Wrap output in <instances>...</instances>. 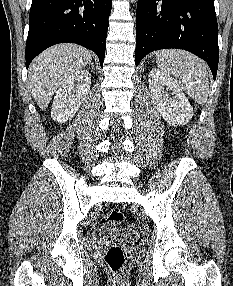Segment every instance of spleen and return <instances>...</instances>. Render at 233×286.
Instances as JSON below:
<instances>
[{
  "label": "spleen",
  "instance_id": "spleen-1",
  "mask_svg": "<svg viewBox=\"0 0 233 286\" xmlns=\"http://www.w3.org/2000/svg\"><path fill=\"white\" fill-rule=\"evenodd\" d=\"M157 66L196 103L203 105L209 95L207 64L192 53L180 49H164L156 52Z\"/></svg>",
  "mask_w": 233,
  "mask_h": 286
}]
</instances>
